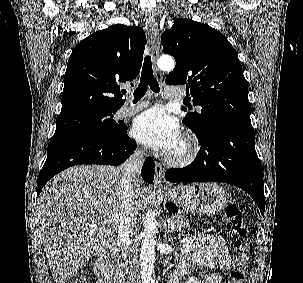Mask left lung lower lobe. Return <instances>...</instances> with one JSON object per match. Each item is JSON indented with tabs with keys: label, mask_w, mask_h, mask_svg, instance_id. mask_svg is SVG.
Returning a JSON list of instances; mask_svg holds the SVG:
<instances>
[{
	"label": "left lung lower lobe",
	"mask_w": 303,
	"mask_h": 283,
	"mask_svg": "<svg viewBox=\"0 0 303 283\" xmlns=\"http://www.w3.org/2000/svg\"><path fill=\"white\" fill-rule=\"evenodd\" d=\"M196 136L201 148L195 160L187 167L168 169L166 180L223 182L237 186L250 194L264 214L263 172L255 151L252 125L222 122Z\"/></svg>",
	"instance_id": "1"
}]
</instances>
